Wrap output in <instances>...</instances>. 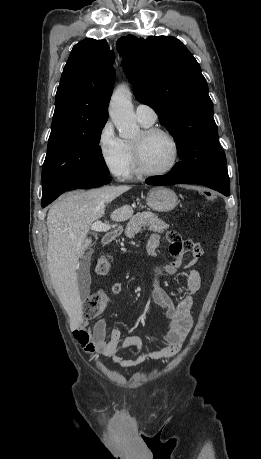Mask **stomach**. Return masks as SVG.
Masks as SVG:
<instances>
[{
  "mask_svg": "<svg viewBox=\"0 0 261 459\" xmlns=\"http://www.w3.org/2000/svg\"><path fill=\"white\" fill-rule=\"evenodd\" d=\"M147 205L157 212H169L178 204L176 193L167 187L152 188L146 197Z\"/></svg>",
  "mask_w": 261,
  "mask_h": 459,
  "instance_id": "0dacf381",
  "label": "stomach"
}]
</instances>
